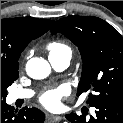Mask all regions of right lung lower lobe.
Instances as JSON below:
<instances>
[{
    "label": "right lung lower lobe",
    "instance_id": "98d812e1",
    "mask_svg": "<svg viewBox=\"0 0 123 123\" xmlns=\"http://www.w3.org/2000/svg\"><path fill=\"white\" fill-rule=\"evenodd\" d=\"M45 114L37 108L24 107L21 110H14L1 99V123H43Z\"/></svg>",
    "mask_w": 123,
    "mask_h": 123
}]
</instances>
